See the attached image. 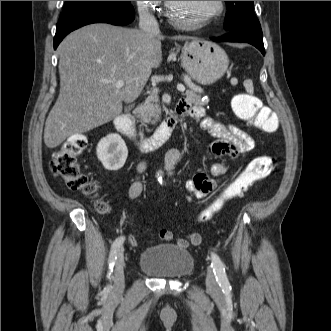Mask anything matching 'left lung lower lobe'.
<instances>
[{
  "label": "left lung lower lobe",
  "instance_id": "obj_1",
  "mask_svg": "<svg viewBox=\"0 0 331 331\" xmlns=\"http://www.w3.org/2000/svg\"><path fill=\"white\" fill-rule=\"evenodd\" d=\"M214 41L223 42H246L254 45L257 49L265 55L263 45V35L260 26L247 27L228 31L225 35L213 39Z\"/></svg>",
  "mask_w": 331,
  "mask_h": 331
}]
</instances>
